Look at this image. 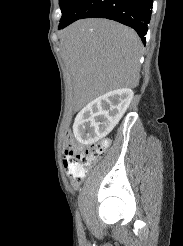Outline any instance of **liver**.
I'll return each mask as SVG.
<instances>
[{"instance_id":"obj_1","label":"liver","mask_w":183,"mask_h":246,"mask_svg":"<svg viewBox=\"0 0 183 246\" xmlns=\"http://www.w3.org/2000/svg\"><path fill=\"white\" fill-rule=\"evenodd\" d=\"M60 42L81 105L138 86L143 45L133 29L107 19H83L65 28Z\"/></svg>"}]
</instances>
